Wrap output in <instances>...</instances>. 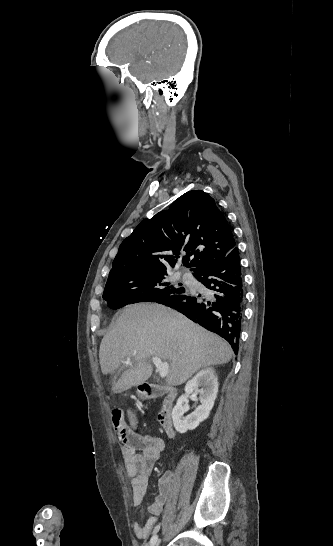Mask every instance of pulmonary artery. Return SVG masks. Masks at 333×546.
Instances as JSON below:
<instances>
[{"mask_svg":"<svg viewBox=\"0 0 333 546\" xmlns=\"http://www.w3.org/2000/svg\"><path fill=\"white\" fill-rule=\"evenodd\" d=\"M183 277H184L185 279H188V278H189V275H188L187 273H185V274L183 275Z\"/></svg>","mask_w":333,"mask_h":546,"instance_id":"e3ab8cb5","label":"pulmonary artery"}]
</instances>
